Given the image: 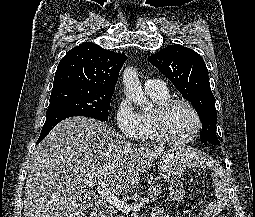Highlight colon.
<instances>
[{"mask_svg":"<svg viewBox=\"0 0 255 217\" xmlns=\"http://www.w3.org/2000/svg\"><path fill=\"white\" fill-rule=\"evenodd\" d=\"M170 200L173 204H181L186 198V192L180 182H173L170 186ZM217 206L214 205L211 212L216 210Z\"/></svg>","mask_w":255,"mask_h":217,"instance_id":"1","label":"colon"}]
</instances>
